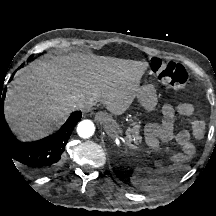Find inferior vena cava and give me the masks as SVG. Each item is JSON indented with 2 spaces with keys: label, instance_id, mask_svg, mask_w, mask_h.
<instances>
[{
  "label": "inferior vena cava",
  "instance_id": "inferior-vena-cava-1",
  "mask_svg": "<svg viewBox=\"0 0 216 216\" xmlns=\"http://www.w3.org/2000/svg\"><path fill=\"white\" fill-rule=\"evenodd\" d=\"M91 106H93L91 101L86 98L77 99L73 105L74 109H78L80 111H88Z\"/></svg>",
  "mask_w": 216,
  "mask_h": 216
}]
</instances>
